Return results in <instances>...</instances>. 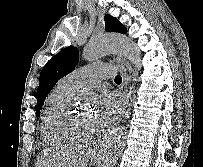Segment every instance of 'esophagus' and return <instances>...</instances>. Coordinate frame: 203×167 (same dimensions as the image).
<instances>
[{
  "label": "esophagus",
  "mask_w": 203,
  "mask_h": 167,
  "mask_svg": "<svg viewBox=\"0 0 203 167\" xmlns=\"http://www.w3.org/2000/svg\"><path fill=\"white\" fill-rule=\"evenodd\" d=\"M116 60H117V63H118L119 69H120L121 76H122V84H121L120 89H121V92H122L123 97H124V106H123V110H122L121 114L119 115V117H118V119H117V121H116L113 128L117 127V125L120 123L123 116L125 115L126 110L128 108V105H129V97H130V94H129V91H128V85H129V81H130V76L127 73V64L120 57H117ZM106 138H107V135H104L96 143V145H95V150L96 151H100V150L103 149Z\"/></svg>",
  "instance_id": "obj_1"
}]
</instances>
